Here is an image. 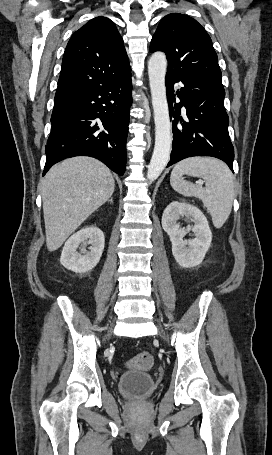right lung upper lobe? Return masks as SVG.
I'll list each match as a JSON object with an SVG mask.
<instances>
[{"instance_id": "1", "label": "right lung upper lobe", "mask_w": 272, "mask_h": 455, "mask_svg": "<svg viewBox=\"0 0 272 455\" xmlns=\"http://www.w3.org/2000/svg\"><path fill=\"white\" fill-rule=\"evenodd\" d=\"M131 74L123 39L108 18L96 17L77 30L64 52L55 101Z\"/></svg>"}]
</instances>
